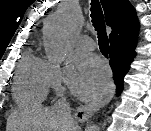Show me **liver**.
I'll use <instances>...</instances> for the list:
<instances>
[{
  "mask_svg": "<svg viewBox=\"0 0 151 131\" xmlns=\"http://www.w3.org/2000/svg\"><path fill=\"white\" fill-rule=\"evenodd\" d=\"M71 129L64 113L55 106L20 109L7 122V131H75V127Z\"/></svg>",
  "mask_w": 151,
  "mask_h": 131,
  "instance_id": "liver-1",
  "label": "liver"
}]
</instances>
